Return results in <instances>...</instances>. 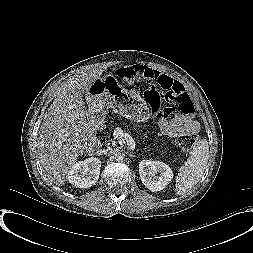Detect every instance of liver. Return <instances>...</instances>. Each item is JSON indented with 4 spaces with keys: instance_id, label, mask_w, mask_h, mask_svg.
I'll list each match as a JSON object with an SVG mask.
<instances>
[{
    "instance_id": "liver-1",
    "label": "liver",
    "mask_w": 253,
    "mask_h": 253,
    "mask_svg": "<svg viewBox=\"0 0 253 253\" xmlns=\"http://www.w3.org/2000/svg\"><path fill=\"white\" fill-rule=\"evenodd\" d=\"M102 72H82L61 84L44 114L37 139L38 159L46 174L59 184H64L92 135L82 97Z\"/></svg>"
}]
</instances>
